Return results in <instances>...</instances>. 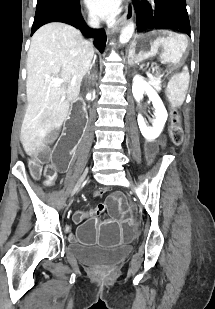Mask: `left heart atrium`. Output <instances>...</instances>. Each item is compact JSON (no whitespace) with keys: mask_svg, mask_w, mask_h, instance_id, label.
<instances>
[{"mask_svg":"<svg viewBox=\"0 0 215 309\" xmlns=\"http://www.w3.org/2000/svg\"><path fill=\"white\" fill-rule=\"evenodd\" d=\"M89 7H92V12H102V16H107L109 12H119V5H110L109 0H89Z\"/></svg>","mask_w":215,"mask_h":309,"instance_id":"39dd6f15","label":"left heart atrium"}]
</instances>
